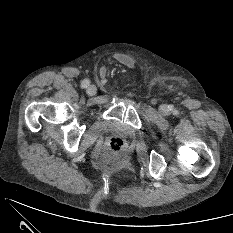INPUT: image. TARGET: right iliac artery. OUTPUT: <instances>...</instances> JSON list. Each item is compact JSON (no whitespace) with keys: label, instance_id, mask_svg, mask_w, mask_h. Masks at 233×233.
I'll return each mask as SVG.
<instances>
[{"label":"right iliac artery","instance_id":"1","mask_svg":"<svg viewBox=\"0 0 233 233\" xmlns=\"http://www.w3.org/2000/svg\"><path fill=\"white\" fill-rule=\"evenodd\" d=\"M89 83H90L89 80H88V79H85V80L82 81L81 87H82V88H86V87L89 86Z\"/></svg>","mask_w":233,"mask_h":233}]
</instances>
